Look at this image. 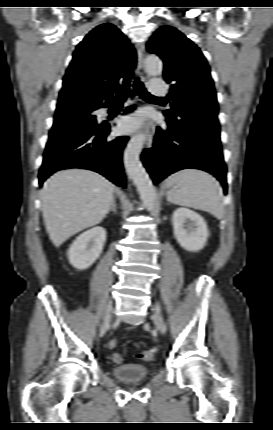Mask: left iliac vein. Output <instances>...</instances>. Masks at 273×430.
Returning <instances> with one entry per match:
<instances>
[{"label":"left iliac vein","instance_id":"4c4485c4","mask_svg":"<svg viewBox=\"0 0 273 430\" xmlns=\"http://www.w3.org/2000/svg\"><path fill=\"white\" fill-rule=\"evenodd\" d=\"M152 319H153V322H154L156 328L158 330H160L161 332L165 333L167 330V327H166V324H165L163 318L161 317L160 308L158 305L154 309Z\"/></svg>","mask_w":273,"mask_h":430}]
</instances>
